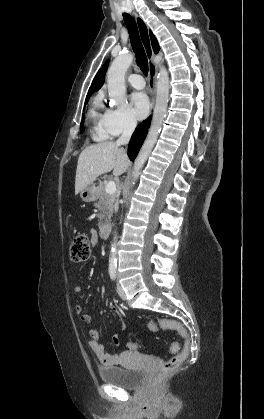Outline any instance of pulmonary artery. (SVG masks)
Instances as JSON below:
<instances>
[{
	"label": "pulmonary artery",
	"mask_w": 264,
	"mask_h": 419,
	"mask_svg": "<svg viewBox=\"0 0 264 419\" xmlns=\"http://www.w3.org/2000/svg\"><path fill=\"white\" fill-rule=\"evenodd\" d=\"M128 81L136 89H143L145 87L144 78L139 74L129 75Z\"/></svg>",
	"instance_id": "1"
}]
</instances>
